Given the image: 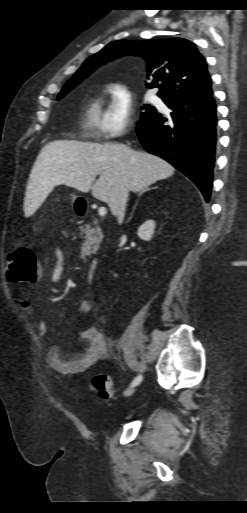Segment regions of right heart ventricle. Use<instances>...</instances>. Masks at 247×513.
Masks as SVG:
<instances>
[{"label":"right heart ventricle","mask_w":247,"mask_h":513,"mask_svg":"<svg viewBox=\"0 0 247 513\" xmlns=\"http://www.w3.org/2000/svg\"><path fill=\"white\" fill-rule=\"evenodd\" d=\"M103 113L100 97L89 99L82 114V130L85 135L94 136L99 132Z\"/></svg>","instance_id":"right-heart-ventricle-1"}]
</instances>
